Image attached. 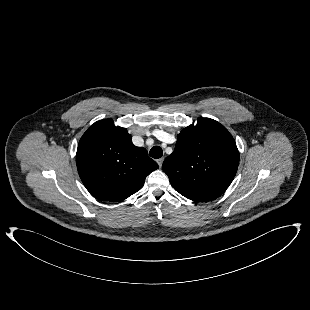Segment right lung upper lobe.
<instances>
[{"label":"right lung upper lobe","instance_id":"right-lung-upper-lobe-1","mask_svg":"<svg viewBox=\"0 0 310 310\" xmlns=\"http://www.w3.org/2000/svg\"><path fill=\"white\" fill-rule=\"evenodd\" d=\"M76 164L87 190L103 201H122L139 191L158 168L147 151L135 146L126 128L113 120L95 122L79 141Z\"/></svg>","mask_w":310,"mask_h":310}]
</instances>
